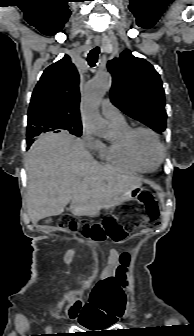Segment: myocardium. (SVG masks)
Wrapping results in <instances>:
<instances>
[{"instance_id": "f54148a6", "label": "myocardium", "mask_w": 194, "mask_h": 336, "mask_svg": "<svg viewBox=\"0 0 194 336\" xmlns=\"http://www.w3.org/2000/svg\"><path fill=\"white\" fill-rule=\"evenodd\" d=\"M139 132H145V133L150 134L154 138L156 144L159 147L160 159L155 165H150L149 163L144 161L138 153V150H137V147H136V135ZM125 140H126V144H127V147L129 149L131 155L141 165H143V166H145V167H147L151 170H154L163 162L164 156H165V149H164V146L161 142V139H160L159 135L153 129H151L149 127H146V126L131 127V128H129V130L126 133Z\"/></svg>"}]
</instances>
